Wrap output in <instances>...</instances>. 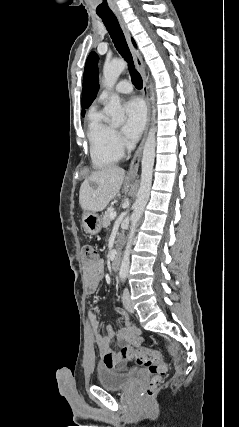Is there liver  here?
<instances>
[{"mask_svg": "<svg viewBox=\"0 0 239 427\" xmlns=\"http://www.w3.org/2000/svg\"><path fill=\"white\" fill-rule=\"evenodd\" d=\"M125 177V170L107 166L92 174L81 184L79 203L83 210L99 212L118 194Z\"/></svg>", "mask_w": 239, "mask_h": 427, "instance_id": "liver-1", "label": "liver"}]
</instances>
